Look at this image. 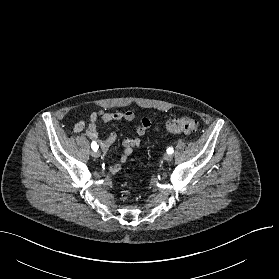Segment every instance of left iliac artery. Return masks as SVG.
Instances as JSON below:
<instances>
[{
    "label": "left iliac artery",
    "instance_id": "left-iliac-artery-1",
    "mask_svg": "<svg viewBox=\"0 0 279 279\" xmlns=\"http://www.w3.org/2000/svg\"><path fill=\"white\" fill-rule=\"evenodd\" d=\"M173 152H174V150H173L172 147H169V148L167 149V153H168V154H172Z\"/></svg>",
    "mask_w": 279,
    "mask_h": 279
}]
</instances>
